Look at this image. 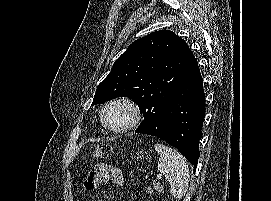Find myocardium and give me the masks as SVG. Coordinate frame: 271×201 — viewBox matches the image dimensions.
<instances>
[{
    "mask_svg": "<svg viewBox=\"0 0 271 201\" xmlns=\"http://www.w3.org/2000/svg\"><path fill=\"white\" fill-rule=\"evenodd\" d=\"M124 105L126 106L130 113H131V120L128 124H126L123 127L120 128H114L111 127L107 121H106V113L108 111V109L114 105ZM141 122V112L140 109L138 107V105L130 98L128 97H118V98H114L112 100H110L109 102H107L105 104V106L103 107L102 111H101V123L103 125V127L113 133H124L127 131H130L134 128H136L139 123Z\"/></svg>",
    "mask_w": 271,
    "mask_h": 201,
    "instance_id": "f54148a6",
    "label": "myocardium"
}]
</instances>
